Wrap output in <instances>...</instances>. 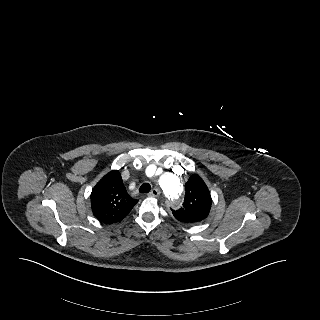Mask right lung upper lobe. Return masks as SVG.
Here are the masks:
<instances>
[{"label": "right lung upper lobe", "instance_id": "cb5924a9", "mask_svg": "<svg viewBox=\"0 0 320 320\" xmlns=\"http://www.w3.org/2000/svg\"><path fill=\"white\" fill-rule=\"evenodd\" d=\"M137 202L138 200L128 195L118 170H112L105 175L91 193L94 216L107 224L121 221Z\"/></svg>", "mask_w": 320, "mask_h": 320}]
</instances>
